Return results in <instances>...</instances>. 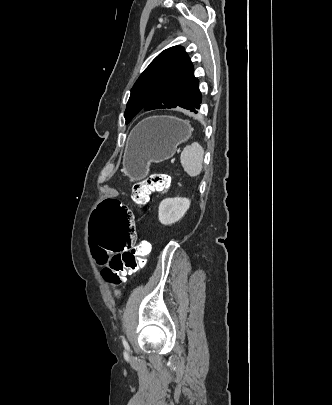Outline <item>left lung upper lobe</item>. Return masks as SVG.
Wrapping results in <instances>:
<instances>
[{
    "label": "left lung upper lobe",
    "instance_id": "1",
    "mask_svg": "<svg viewBox=\"0 0 332 405\" xmlns=\"http://www.w3.org/2000/svg\"><path fill=\"white\" fill-rule=\"evenodd\" d=\"M200 94L199 81L185 49L170 47L150 63L131 89L124 113L126 124L142 109H194Z\"/></svg>",
    "mask_w": 332,
    "mask_h": 405
}]
</instances>
